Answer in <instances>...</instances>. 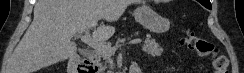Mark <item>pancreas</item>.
<instances>
[{"instance_id": "cf45deb5", "label": "pancreas", "mask_w": 244, "mask_h": 73, "mask_svg": "<svg viewBox=\"0 0 244 73\" xmlns=\"http://www.w3.org/2000/svg\"><path fill=\"white\" fill-rule=\"evenodd\" d=\"M142 50L151 56H159L163 52L162 47L154 39L150 38L145 40L144 45L142 46ZM94 59L103 70L107 66L110 67V69H113L115 66L111 55L108 53L97 52L94 55ZM101 59L105 61L104 64L100 63Z\"/></svg>"}]
</instances>
